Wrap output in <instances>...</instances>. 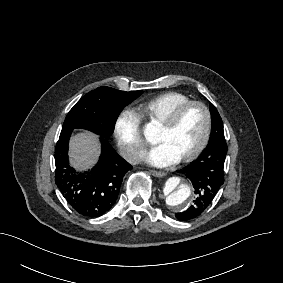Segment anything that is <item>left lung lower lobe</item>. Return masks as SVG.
Listing matches in <instances>:
<instances>
[{"instance_id":"obj_1","label":"left lung lower lobe","mask_w":283,"mask_h":283,"mask_svg":"<svg viewBox=\"0 0 283 283\" xmlns=\"http://www.w3.org/2000/svg\"><path fill=\"white\" fill-rule=\"evenodd\" d=\"M226 154L227 144L225 139L210 140L198 159L180 170V173L191 180L196 198L193 205L186 211L175 214L178 220L194 219L209 207L224 183L223 168Z\"/></svg>"}]
</instances>
